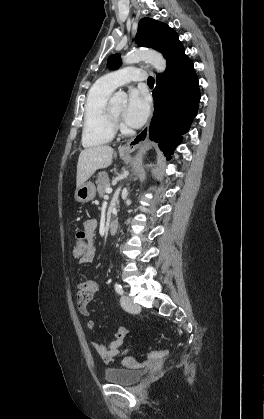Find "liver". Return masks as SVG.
<instances>
[{
	"label": "liver",
	"instance_id": "6515ba94",
	"mask_svg": "<svg viewBox=\"0 0 264 419\" xmlns=\"http://www.w3.org/2000/svg\"><path fill=\"white\" fill-rule=\"evenodd\" d=\"M114 150L108 145L94 146L81 151L77 163L76 187L84 184L98 169L112 163Z\"/></svg>",
	"mask_w": 264,
	"mask_h": 419
}]
</instances>
